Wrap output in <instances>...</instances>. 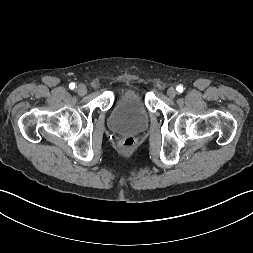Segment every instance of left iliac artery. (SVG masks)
I'll return each instance as SVG.
<instances>
[{
    "label": "left iliac artery",
    "instance_id": "obj_1",
    "mask_svg": "<svg viewBox=\"0 0 253 253\" xmlns=\"http://www.w3.org/2000/svg\"><path fill=\"white\" fill-rule=\"evenodd\" d=\"M176 90L179 92V93H182L183 92V86L181 85H178Z\"/></svg>",
    "mask_w": 253,
    "mask_h": 253
}]
</instances>
